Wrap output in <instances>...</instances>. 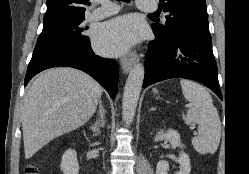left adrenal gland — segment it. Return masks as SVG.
Returning <instances> with one entry per match:
<instances>
[{"label": "left adrenal gland", "instance_id": "a2214340", "mask_svg": "<svg viewBox=\"0 0 249 174\" xmlns=\"http://www.w3.org/2000/svg\"><path fill=\"white\" fill-rule=\"evenodd\" d=\"M156 110V108H154V107H151V109H150V111H155Z\"/></svg>", "mask_w": 249, "mask_h": 174}]
</instances>
